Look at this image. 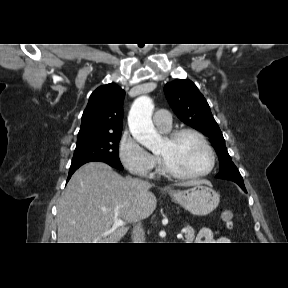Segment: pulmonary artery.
<instances>
[{
	"mask_svg": "<svg viewBox=\"0 0 288 288\" xmlns=\"http://www.w3.org/2000/svg\"><path fill=\"white\" fill-rule=\"evenodd\" d=\"M171 114L166 110H159L154 116L155 126L162 130L168 131L171 127Z\"/></svg>",
	"mask_w": 288,
	"mask_h": 288,
	"instance_id": "obj_1",
	"label": "pulmonary artery"
}]
</instances>
